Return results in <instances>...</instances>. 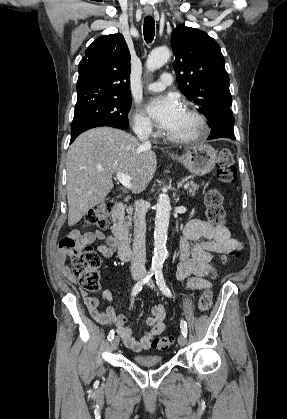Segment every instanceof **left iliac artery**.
<instances>
[{
	"label": "left iliac artery",
	"instance_id": "44dca946",
	"mask_svg": "<svg viewBox=\"0 0 287 419\" xmlns=\"http://www.w3.org/2000/svg\"><path fill=\"white\" fill-rule=\"evenodd\" d=\"M155 279H156V283L160 287V290L162 291V293L165 294L167 297H172V293H171L170 289L167 287V285L165 283L162 270H157L155 272ZM180 328H181V333L186 337L187 336V323H186V321L181 320Z\"/></svg>",
	"mask_w": 287,
	"mask_h": 419
}]
</instances>
